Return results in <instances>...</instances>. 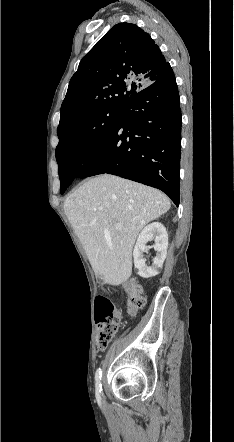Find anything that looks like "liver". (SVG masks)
<instances>
[{"label":"liver","mask_w":234,"mask_h":442,"mask_svg":"<svg viewBox=\"0 0 234 442\" xmlns=\"http://www.w3.org/2000/svg\"><path fill=\"white\" fill-rule=\"evenodd\" d=\"M170 207L159 190L109 174L89 179L64 202L95 274L110 285L129 279L140 230ZM115 223L122 228L117 230Z\"/></svg>","instance_id":"6515ba94"}]
</instances>
